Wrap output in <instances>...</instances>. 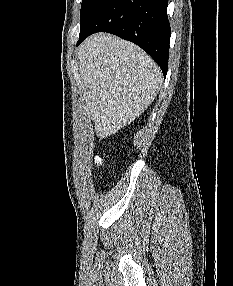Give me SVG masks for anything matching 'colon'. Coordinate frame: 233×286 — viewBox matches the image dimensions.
I'll return each instance as SVG.
<instances>
[{
    "label": "colon",
    "mask_w": 233,
    "mask_h": 286,
    "mask_svg": "<svg viewBox=\"0 0 233 286\" xmlns=\"http://www.w3.org/2000/svg\"><path fill=\"white\" fill-rule=\"evenodd\" d=\"M97 162H98V164H99L100 166H103V164H104V161H103V159H102L101 157H98V158H97Z\"/></svg>",
    "instance_id": "5ec220e1"
}]
</instances>
